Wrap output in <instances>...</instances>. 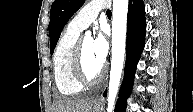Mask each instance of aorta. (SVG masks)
<instances>
[{
    "label": "aorta",
    "instance_id": "obj_1",
    "mask_svg": "<svg viewBox=\"0 0 193 112\" xmlns=\"http://www.w3.org/2000/svg\"><path fill=\"white\" fill-rule=\"evenodd\" d=\"M127 13L128 0H113L112 56L108 88L107 112H112L114 109L123 71L126 49ZM89 34V32L86 33V35Z\"/></svg>",
    "mask_w": 193,
    "mask_h": 112
}]
</instances>
